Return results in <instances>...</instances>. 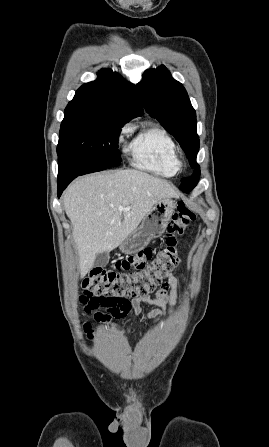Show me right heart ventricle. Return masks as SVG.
Here are the masks:
<instances>
[{"instance_id":"obj_1","label":"right heart ventricle","mask_w":269,"mask_h":447,"mask_svg":"<svg viewBox=\"0 0 269 447\" xmlns=\"http://www.w3.org/2000/svg\"><path fill=\"white\" fill-rule=\"evenodd\" d=\"M132 166L163 177L174 176L179 170L174 139L164 128L152 125L141 131L128 147Z\"/></svg>"}]
</instances>
